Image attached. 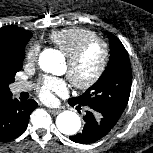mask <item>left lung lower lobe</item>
Returning <instances> with one entry per match:
<instances>
[{"instance_id": "0a47b994", "label": "left lung lower lobe", "mask_w": 153, "mask_h": 153, "mask_svg": "<svg viewBox=\"0 0 153 153\" xmlns=\"http://www.w3.org/2000/svg\"><path fill=\"white\" fill-rule=\"evenodd\" d=\"M68 102L72 106L77 104L71 99ZM83 118L86 122L83 131L75 136L69 137L73 142L81 144L94 143L107 135L116 124L112 120L100 116L92 109L86 111V115Z\"/></svg>"}]
</instances>
